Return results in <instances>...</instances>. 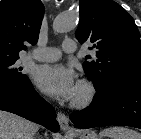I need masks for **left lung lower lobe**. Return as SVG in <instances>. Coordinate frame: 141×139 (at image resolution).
<instances>
[{
    "instance_id": "left-lung-lower-lobe-1",
    "label": "left lung lower lobe",
    "mask_w": 141,
    "mask_h": 139,
    "mask_svg": "<svg viewBox=\"0 0 141 139\" xmlns=\"http://www.w3.org/2000/svg\"><path fill=\"white\" fill-rule=\"evenodd\" d=\"M70 119L77 128L125 125L141 129V81H116L97 90L91 105Z\"/></svg>"
}]
</instances>
